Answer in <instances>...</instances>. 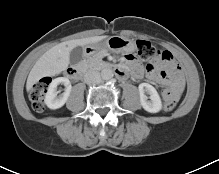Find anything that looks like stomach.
Wrapping results in <instances>:
<instances>
[{"label":"stomach","mask_w":219,"mask_h":174,"mask_svg":"<svg viewBox=\"0 0 219 174\" xmlns=\"http://www.w3.org/2000/svg\"><path fill=\"white\" fill-rule=\"evenodd\" d=\"M91 54L97 52H112V53H130L134 52L136 49L135 42L121 37V36H112L100 43H92L87 46Z\"/></svg>","instance_id":"stomach-1"}]
</instances>
